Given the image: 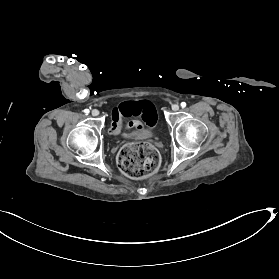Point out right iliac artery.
<instances>
[{
	"instance_id": "right-iliac-artery-1",
	"label": "right iliac artery",
	"mask_w": 279,
	"mask_h": 279,
	"mask_svg": "<svg viewBox=\"0 0 279 279\" xmlns=\"http://www.w3.org/2000/svg\"><path fill=\"white\" fill-rule=\"evenodd\" d=\"M89 112H90L89 109H85V110H84V113H85L86 115H88Z\"/></svg>"
}]
</instances>
